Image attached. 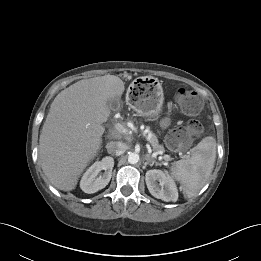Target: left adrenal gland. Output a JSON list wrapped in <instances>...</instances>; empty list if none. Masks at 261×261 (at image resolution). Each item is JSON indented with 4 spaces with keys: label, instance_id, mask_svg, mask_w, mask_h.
I'll use <instances>...</instances> for the list:
<instances>
[{
    "label": "left adrenal gland",
    "instance_id": "1",
    "mask_svg": "<svg viewBox=\"0 0 261 261\" xmlns=\"http://www.w3.org/2000/svg\"><path fill=\"white\" fill-rule=\"evenodd\" d=\"M145 160H146V164L150 165V166H153L154 165V161L150 158V155L149 154H146L145 155Z\"/></svg>",
    "mask_w": 261,
    "mask_h": 261
}]
</instances>
